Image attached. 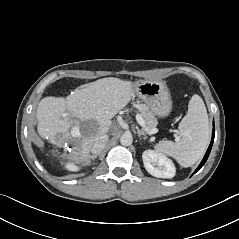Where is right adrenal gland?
Masks as SVG:
<instances>
[{
  "label": "right adrenal gland",
  "mask_w": 239,
  "mask_h": 239,
  "mask_svg": "<svg viewBox=\"0 0 239 239\" xmlns=\"http://www.w3.org/2000/svg\"><path fill=\"white\" fill-rule=\"evenodd\" d=\"M96 157H97L96 155H94V156H90L89 159H90V158H96Z\"/></svg>",
  "instance_id": "1"
}]
</instances>
